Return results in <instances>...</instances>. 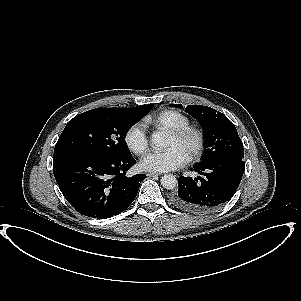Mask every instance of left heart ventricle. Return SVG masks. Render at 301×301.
Returning a JSON list of instances; mask_svg holds the SVG:
<instances>
[{
  "label": "left heart ventricle",
  "instance_id": "b2bd125f",
  "mask_svg": "<svg viewBox=\"0 0 301 301\" xmlns=\"http://www.w3.org/2000/svg\"><path fill=\"white\" fill-rule=\"evenodd\" d=\"M164 146L165 147H170L174 150H176L178 153H180L181 155H183L185 153V151L187 150V148L189 147V142H180V141H176L172 138L166 137L163 141Z\"/></svg>",
  "mask_w": 301,
  "mask_h": 301
}]
</instances>
